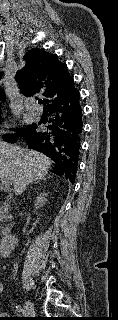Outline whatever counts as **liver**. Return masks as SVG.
<instances>
[{
  "instance_id": "6515ba94",
  "label": "liver",
  "mask_w": 118,
  "mask_h": 320,
  "mask_svg": "<svg viewBox=\"0 0 118 320\" xmlns=\"http://www.w3.org/2000/svg\"><path fill=\"white\" fill-rule=\"evenodd\" d=\"M53 161L37 151L0 142V179L13 183L16 195L26 186L47 175Z\"/></svg>"
}]
</instances>
